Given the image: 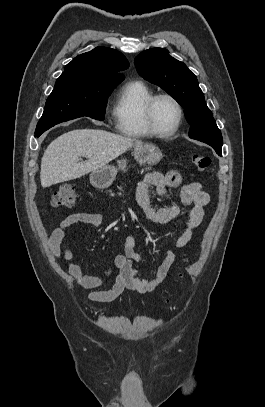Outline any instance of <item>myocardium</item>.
<instances>
[{
	"instance_id": "1",
	"label": "myocardium",
	"mask_w": 265,
	"mask_h": 407,
	"mask_svg": "<svg viewBox=\"0 0 265 407\" xmlns=\"http://www.w3.org/2000/svg\"><path fill=\"white\" fill-rule=\"evenodd\" d=\"M160 99H168V100L172 101L178 111L177 121H176L175 125L168 131L159 130L156 127V124L154 121L155 105ZM183 118H184V109H183L181 102L175 96H173L169 93H159V94L153 95L148 100V102L146 103V105L144 107L145 124H146L147 128L149 129L150 133L157 137H169V136L174 135L180 128Z\"/></svg>"
}]
</instances>
